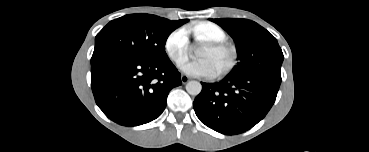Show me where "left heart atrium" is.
<instances>
[{
	"label": "left heart atrium",
	"instance_id": "1",
	"mask_svg": "<svg viewBox=\"0 0 369 152\" xmlns=\"http://www.w3.org/2000/svg\"><path fill=\"white\" fill-rule=\"evenodd\" d=\"M180 70L193 77H213L217 73L209 59L187 60L180 64Z\"/></svg>",
	"mask_w": 369,
	"mask_h": 152
}]
</instances>
